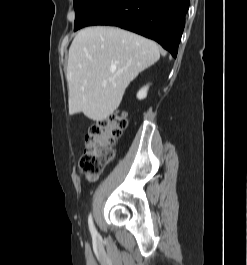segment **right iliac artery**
Masks as SVG:
<instances>
[{
    "mask_svg": "<svg viewBox=\"0 0 247 265\" xmlns=\"http://www.w3.org/2000/svg\"><path fill=\"white\" fill-rule=\"evenodd\" d=\"M88 224H89V230H90V232H91V235H92L93 237H96V236H97V231H96V229H95V227H94L93 219H92L91 214L89 215V218H88Z\"/></svg>",
    "mask_w": 247,
    "mask_h": 265,
    "instance_id": "right-iliac-artery-1",
    "label": "right iliac artery"
}]
</instances>
